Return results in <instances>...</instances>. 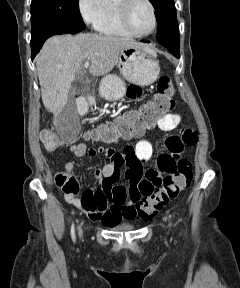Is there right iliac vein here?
I'll return each instance as SVG.
<instances>
[{
	"label": "right iliac vein",
	"mask_w": 240,
	"mask_h": 288,
	"mask_svg": "<svg viewBox=\"0 0 240 288\" xmlns=\"http://www.w3.org/2000/svg\"><path fill=\"white\" fill-rule=\"evenodd\" d=\"M78 235H79V238H82L83 236V231H82L81 226H78Z\"/></svg>",
	"instance_id": "1"
}]
</instances>
